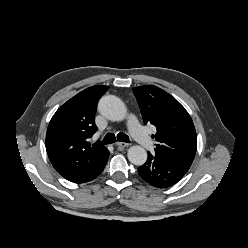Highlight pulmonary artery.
<instances>
[{
    "label": "pulmonary artery",
    "instance_id": "obj_1",
    "mask_svg": "<svg viewBox=\"0 0 248 248\" xmlns=\"http://www.w3.org/2000/svg\"><path fill=\"white\" fill-rule=\"evenodd\" d=\"M128 127L129 130L134 137V139L137 140V142L143 147V148H151L153 146V142L150 139V137L144 132L142 127L138 124L136 118L134 116H130L128 119Z\"/></svg>",
    "mask_w": 248,
    "mask_h": 248
}]
</instances>
